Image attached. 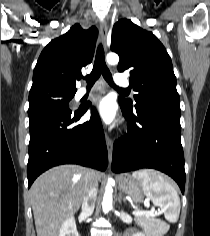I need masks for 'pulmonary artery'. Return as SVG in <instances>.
Listing matches in <instances>:
<instances>
[{
  "instance_id": "pulmonary-artery-1",
  "label": "pulmonary artery",
  "mask_w": 210,
  "mask_h": 236,
  "mask_svg": "<svg viewBox=\"0 0 210 236\" xmlns=\"http://www.w3.org/2000/svg\"><path fill=\"white\" fill-rule=\"evenodd\" d=\"M114 82L117 86L119 87H127L129 85V82L127 80L126 77H124L123 75H115L114 77ZM97 91H100V88L96 87V88H91V89H80L78 91V97H83L87 94H90V93H93V92H97Z\"/></svg>"
}]
</instances>
